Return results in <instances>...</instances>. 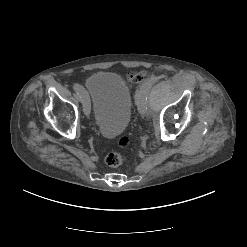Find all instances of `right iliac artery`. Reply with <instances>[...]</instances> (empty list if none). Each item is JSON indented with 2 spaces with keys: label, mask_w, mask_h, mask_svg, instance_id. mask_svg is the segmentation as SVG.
Instances as JSON below:
<instances>
[{
  "label": "right iliac artery",
  "mask_w": 247,
  "mask_h": 247,
  "mask_svg": "<svg viewBox=\"0 0 247 247\" xmlns=\"http://www.w3.org/2000/svg\"><path fill=\"white\" fill-rule=\"evenodd\" d=\"M73 89H74V91L77 93V94H79L78 96H79V98H87V96H88V94H87V92H85L84 91V88L81 86V85H79V84H74L73 85Z\"/></svg>",
  "instance_id": "obj_1"
}]
</instances>
